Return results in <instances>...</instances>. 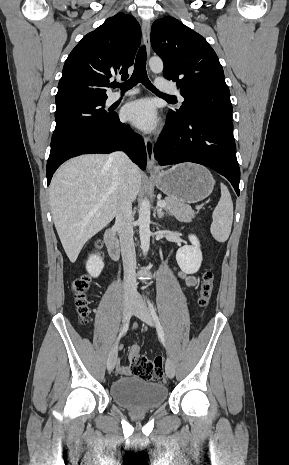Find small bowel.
<instances>
[{
  "label": "small bowel",
  "mask_w": 289,
  "mask_h": 465,
  "mask_svg": "<svg viewBox=\"0 0 289 465\" xmlns=\"http://www.w3.org/2000/svg\"><path fill=\"white\" fill-rule=\"evenodd\" d=\"M178 276L184 282L185 287H191L196 284V277L193 275H188L183 271H179ZM117 372L121 375H128L131 371L128 367L118 364Z\"/></svg>",
  "instance_id": "obj_1"
}]
</instances>
